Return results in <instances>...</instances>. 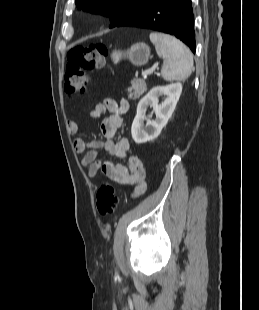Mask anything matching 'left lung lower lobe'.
Returning <instances> with one entry per match:
<instances>
[{
  "instance_id": "obj_1",
  "label": "left lung lower lobe",
  "mask_w": 259,
  "mask_h": 310,
  "mask_svg": "<svg viewBox=\"0 0 259 310\" xmlns=\"http://www.w3.org/2000/svg\"><path fill=\"white\" fill-rule=\"evenodd\" d=\"M120 26L147 28L171 34L183 41L195 53L191 0H151L130 12L113 27Z\"/></svg>"
}]
</instances>
